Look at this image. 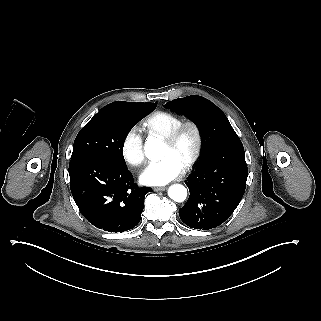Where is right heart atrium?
<instances>
[{
    "label": "right heart atrium",
    "instance_id": "d8ad5b80",
    "mask_svg": "<svg viewBox=\"0 0 321 321\" xmlns=\"http://www.w3.org/2000/svg\"><path fill=\"white\" fill-rule=\"evenodd\" d=\"M120 151L127 164L137 166L144 161L143 135L139 126H132L126 131L121 140Z\"/></svg>",
    "mask_w": 321,
    "mask_h": 321
}]
</instances>
